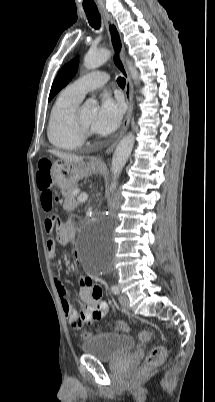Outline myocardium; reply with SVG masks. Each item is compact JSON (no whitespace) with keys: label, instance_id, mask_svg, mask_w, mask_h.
<instances>
[{"label":"myocardium","instance_id":"1","mask_svg":"<svg viewBox=\"0 0 215 402\" xmlns=\"http://www.w3.org/2000/svg\"><path fill=\"white\" fill-rule=\"evenodd\" d=\"M80 112H81V108L78 106L77 109L75 110V113H74V124H75V127H76L78 133L83 138H86V137H89V136L92 135V131H91L90 128H88L87 126H85L83 124V122L81 120Z\"/></svg>","mask_w":215,"mask_h":402}]
</instances>
